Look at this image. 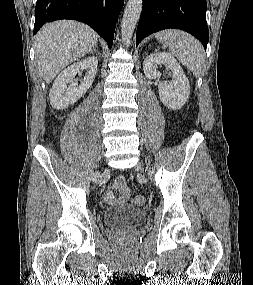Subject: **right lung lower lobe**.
Returning a JSON list of instances; mask_svg holds the SVG:
<instances>
[{"mask_svg":"<svg viewBox=\"0 0 253 285\" xmlns=\"http://www.w3.org/2000/svg\"><path fill=\"white\" fill-rule=\"evenodd\" d=\"M123 4L124 0H37L33 35L46 22L72 19L88 24L111 48Z\"/></svg>","mask_w":253,"mask_h":285,"instance_id":"right-lung-lower-lobe-1","label":"right lung lower lobe"}]
</instances>
